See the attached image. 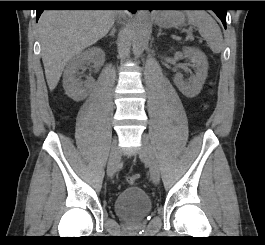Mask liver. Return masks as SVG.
<instances>
[{"label":"liver","mask_w":265,"mask_h":245,"mask_svg":"<svg viewBox=\"0 0 265 245\" xmlns=\"http://www.w3.org/2000/svg\"><path fill=\"white\" fill-rule=\"evenodd\" d=\"M123 12L111 10H47L38 21L41 56L53 91L65 65L83 49L103 38Z\"/></svg>","instance_id":"6515ba94"}]
</instances>
